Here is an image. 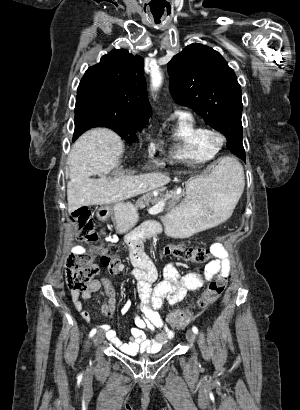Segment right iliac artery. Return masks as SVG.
Returning a JSON list of instances; mask_svg holds the SVG:
<instances>
[{
  "label": "right iliac artery",
  "instance_id": "1",
  "mask_svg": "<svg viewBox=\"0 0 300 410\" xmlns=\"http://www.w3.org/2000/svg\"><path fill=\"white\" fill-rule=\"evenodd\" d=\"M96 331H97L96 328L92 329L89 336L93 337L96 334Z\"/></svg>",
  "mask_w": 300,
  "mask_h": 410
}]
</instances>
